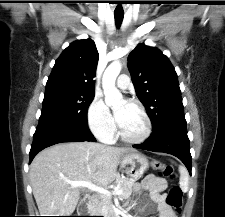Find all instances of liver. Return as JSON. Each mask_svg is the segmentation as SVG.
I'll list each match as a JSON object with an SVG mask.
<instances>
[{"label": "liver", "mask_w": 225, "mask_h": 217, "mask_svg": "<svg viewBox=\"0 0 225 217\" xmlns=\"http://www.w3.org/2000/svg\"><path fill=\"white\" fill-rule=\"evenodd\" d=\"M132 152V148L93 142L59 143L39 152L29 175L41 216H70L86 187H74L68 181L106 187L117 177L122 156Z\"/></svg>", "instance_id": "1"}]
</instances>
